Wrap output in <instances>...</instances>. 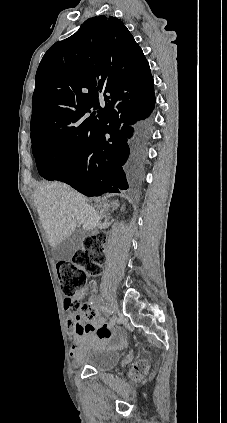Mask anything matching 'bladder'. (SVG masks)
Segmentation results:
<instances>
[{"label": "bladder", "mask_w": 227, "mask_h": 423, "mask_svg": "<svg viewBox=\"0 0 227 423\" xmlns=\"http://www.w3.org/2000/svg\"><path fill=\"white\" fill-rule=\"evenodd\" d=\"M121 354L115 349L106 351H97L85 357L78 362L83 363L86 367L92 368L100 373H110L120 364Z\"/></svg>", "instance_id": "31cf9c89"}]
</instances>
